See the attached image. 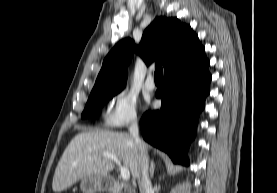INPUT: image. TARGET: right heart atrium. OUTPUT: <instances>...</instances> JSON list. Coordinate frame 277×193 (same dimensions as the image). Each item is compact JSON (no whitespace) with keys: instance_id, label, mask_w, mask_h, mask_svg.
<instances>
[{"instance_id":"1","label":"right heart atrium","mask_w":277,"mask_h":193,"mask_svg":"<svg viewBox=\"0 0 277 193\" xmlns=\"http://www.w3.org/2000/svg\"><path fill=\"white\" fill-rule=\"evenodd\" d=\"M137 120V101L127 90L120 89L110 98L104 123L111 128H121Z\"/></svg>"}]
</instances>
